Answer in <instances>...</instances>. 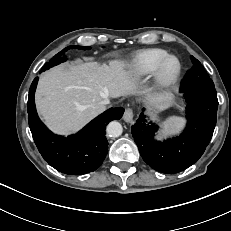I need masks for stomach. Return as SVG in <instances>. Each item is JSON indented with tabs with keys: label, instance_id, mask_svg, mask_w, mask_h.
<instances>
[{
	"label": "stomach",
	"instance_id": "obj_1",
	"mask_svg": "<svg viewBox=\"0 0 231 231\" xmlns=\"http://www.w3.org/2000/svg\"><path fill=\"white\" fill-rule=\"evenodd\" d=\"M167 104H170V98L169 97L163 98L162 100L156 102L155 108L160 109Z\"/></svg>",
	"mask_w": 231,
	"mask_h": 231
}]
</instances>
